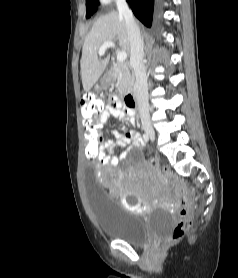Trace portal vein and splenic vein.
Instances as JSON below:
<instances>
[{
    "instance_id": "portal-vein-and-splenic-vein-1",
    "label": "portal vein and splenic vein",
    "mask_w": 238,
    "mask_h": 278,
    "mask_svg": "<svg viewBox=\"0 0 238 278\" xmlns=\"http://www.w3.org/2000/svg\"><path fill=\"white\" fill-rule=\"evenodd\" d=\"M108 48H115V43L111 42V41H107L105 43H103V45L99 48L98 54L99 56L104 55L105 51ZM127 58V53L125 51H120L117 53V61L119 63H123Z\"/></svg>"
}]
</instances>
